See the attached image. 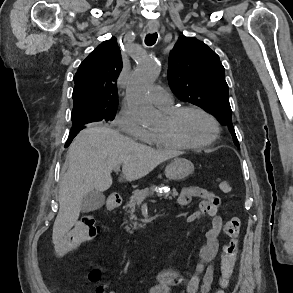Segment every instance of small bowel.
I'll list each match as a JSON object with an SVG mask.
<instances>
[{
  "label": "small bowel",
  "mask_w": 293,
  "mask_h": 293,
  "mask_svg": "<svg viewBox=\"0 0 293 293\" xmlns=\"http://www.w3.org/2000/svg\"><path fill=\"white\" fill-rule=\"evenodd\" d=\"M194 198H199L201 201L198 208L188 215V222H198L206 216L211 219L205 234V243L200 249L199 260L193 271L186 274L168 269L158 272L155 277L156 283L149 289V293H173L179 287L180 293H210L212 289L215 269L211 262L218 252V237L224 226L219 213L220 198L211 191L192 186L180 190L177 204L180 208H184ZM109 293L116 292L109 291Z\"/></svg>",
  "instance_id": "c3829d8e"
}]
</instances>
